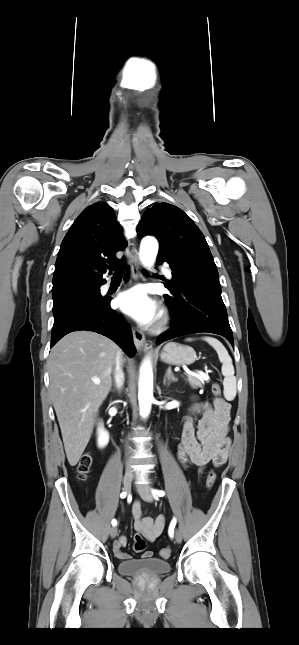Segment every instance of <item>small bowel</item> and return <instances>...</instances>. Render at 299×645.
Wrapping results in <instances>:
<instances>
[{
  "mask_svg": "<svg viewBox=\"0 0 299 645\" xmlns=\"http://www.w3.org/2000/svg\"><path fill=\"white\" fill-rule=\"evenodd\" d=\"M201 414V418L194 426L192 416ZM230 422V405L222 398L213 402L196 403L191 408V413L185 418L181 441L178 445L177 456L183 467L192 463L203 472L209 463L222 466L228 458L231 439L228 436ZM134 528L137 534L150 542L155 541L163 532L166 519L159 515L153 519L142 514L141 504L134 501L132 505ZM127 543V537L122 535L114 543V553L118 559L128 560L130 556L122 548ZM152 557V552L147 551L143 558Z\"/></svg>",
  "mask_w": 299,
  "mask_h": 645,
  "instance_id": "1",
  "label": "small bowel"
}]
</instances>
